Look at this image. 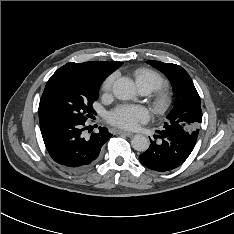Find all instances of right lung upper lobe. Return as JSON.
<instances>
[{
	"mask_svg": "<svg viewBox=\"0 0 234 234\" xmlns=\"http://www.w3.org/2000/svg\"><path fill=\"white\" fill-rule=\"evenodd\" d=\"M122 62L92 61L84 63L70 62L59 68L82 78L102 82L109 74L119 68Z\"/></svg>",
	"mask_w": 234,
	"mask_h": 234,
	"instance_id": "1",
	"label": "right lung upper lobe"
}]
</instances>
